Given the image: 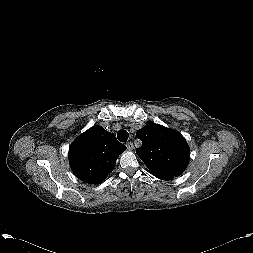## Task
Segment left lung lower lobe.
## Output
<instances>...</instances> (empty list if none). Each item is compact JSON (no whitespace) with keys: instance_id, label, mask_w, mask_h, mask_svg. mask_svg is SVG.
I'll return each mask as SVG.
<instances>
[{"instance_id":"0a47b994","label":"left lung lower lobe","mask_w":253,"mask_h":253,"mask_svg":"<svg viewBox=\"0 0 253 253\" xmlns=\"http://www.w3.org/2000/svg\"><path fill=\"white\" fill-rule=\"evenodd\" d=\"M155 177H157V178H159L161 180H171L172 178H174V177H172L170 175H157Z\"/></svg>"}]
</instances>
